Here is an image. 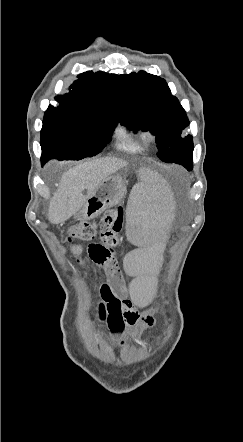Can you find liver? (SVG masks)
Instances as JSON below:
<instances>
[{
	"label": "liver",
	"instance_id": "liver-1",
	"mask_svg": "<svg viewBox=\"0 0 243 442\" xmlns=\"http://www.w3.org/2000/svg\"><path fill=\"white\" fill-rule=\"evenodd\" d=\"M127 164L119 158L105 157L70 168L62 175L59 187L50 200L49 221L64 223L81 209L102 181Z\"/></svg>",
	"mask_w": 243,
	"mask_h": 442
}]
</instances>
